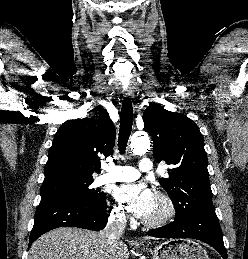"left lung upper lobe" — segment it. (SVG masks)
<instances>
[{"instance_id":"obj_1","label":"left lung upper lobe","mask_w":248,"mask_h":259,"mask_svg":"<svg viewBox=\"0 0 248 259\" xmlns=\"http://www.w3.org/2000/svg\"><path fill=\"white\" fill-rule=\"evenodd\" d=\"M144 129L153 137L154 158L173 165L160 184L170 196L176 218L214 211L203 136L187 116L156 104L143 114Z\"/></svg>"}]
</instances>
